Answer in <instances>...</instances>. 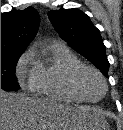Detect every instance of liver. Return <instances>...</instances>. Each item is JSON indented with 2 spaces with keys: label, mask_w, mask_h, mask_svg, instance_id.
Instances as JSON below:
<instances>
[{
  "label": "liver",
  "mask_w": 123,
  "mask_h": 130,
  "mask_svg": "<svg viewBox=\"0 0 123 130\" xmlns=\"http://www.w3.org/2000/svg\"><path fill=\"white\" fill-rule=\"evenodd\" d=\"M101 122L88 106L1 90V130H96Z\"/></svg>",
  "instance_id": "obj_1"
}]
</instances>
